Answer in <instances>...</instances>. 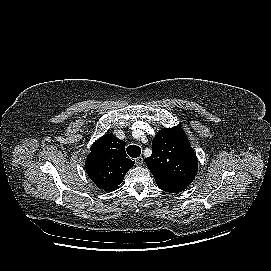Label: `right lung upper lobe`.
I'll return each instance as SVG.
<instances>
[{
  "mask_svg": "<svg viewBox=\"0 0 271 271\" xmlns=\"http://www.w3.org/2000/svg\"><path fill=\"white\" fill-rule=\"evenodd\" d=\"M126 156L125 142L113 134H106L91 146L85 163L86 172L100 189L113 191L134 166L135 162Z\"/></svg>",
  "mask_w": 271,
  "mask_h": 271,
  "instance_id": "right-lung-upper-lobe-1",
  "label": "right lung upper lobe"
}]
</instances>
